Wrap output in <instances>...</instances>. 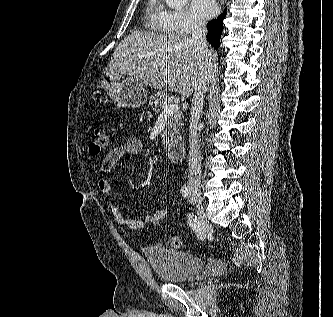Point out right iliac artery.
<instances>
[{
    "mask_svg": "<svg viewBox=\"0 0 333 317\" xmlns=\"http://www.w3.org/2000/svg\"><path fill=\"white\" fill-rule=\"evenodd\" d=\"M189 193H190V188L187 185H183L181 187L182 196L187 198ZM188 224L195 231L198 239L203 240L205 236L204 232L201 230L199 221L197 220V217L193 213H190L188 215Z\"/></svg>",
    "mask_w": 333,
    "mask_h": 317,
    "instance_id": "right-iliac-artery-1",
    "label": "right iliac artery"
}]
</instances>
